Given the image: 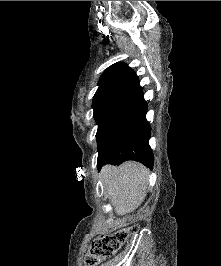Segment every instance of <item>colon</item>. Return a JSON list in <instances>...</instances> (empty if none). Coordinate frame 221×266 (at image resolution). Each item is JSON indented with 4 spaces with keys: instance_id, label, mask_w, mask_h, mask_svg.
<instances>
[{
    "instance_id": "colon-1",
    "label": "colon",
    "mask_w": 221,
    "mask_h": 266,
    "mask_svg": "<svg viewBox=\"0 0 221 266\" xmlns=\"http://www.w3.org/2000/svg\"><path fill=\"white\" fill-rule=\"evenodd\" d=\"M137 229L136 225L125 226L95 238L86 256V265L97 266L100 261L114 254Z\"/></svg>"
}]
</instances>
